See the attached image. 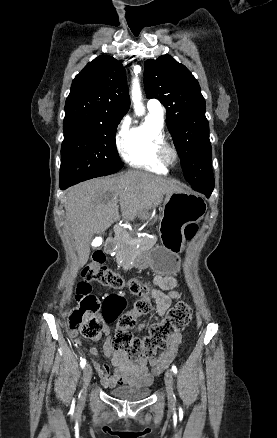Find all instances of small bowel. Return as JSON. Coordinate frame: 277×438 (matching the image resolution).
I'll use <instances>...</instances> for the list:
<instances>
[{"mask_svg":"<svg viewBox=\"0 0 277 438\" xmlns=\"http://www.w3.org/2000/svg\"><path fill=\"white\" fill-rule=\"evenodd\" d=\"M176 284V279L172 276L157 275L154 278L156 288L151 290V295L155 300V319L162 317L169 309L172 300L179 297V293L175 291ZM146 325L144 321L139 322L134 327V330L141 332L146 328ZM112 331V329L105 327L98 337L93 338L94 341L104 339L103 352L114 367L112 374L109 365L101 362L100 376L105 387H115L117 384H127L136 388L152 386L155 378L168 367L181 342V335L176 333L171 337L169 347L157 357L156 361L154 359L130 361L123 352L115 350L113 347ZM70 337L76 345H81V340L76 332H71ZM90 353L96 356L99 350L93 347ZM95 365H98V362H95Z\"/></svg>","mask_w":277,"mask_h":438,"instance_id":"small-bowel-1","label":"small bowel"}]
</instances>
